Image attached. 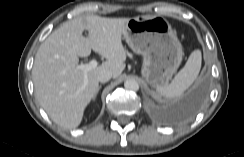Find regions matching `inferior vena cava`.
<instances>
[{
	"mask_svg": "<svg viewBox=\"0 0 244 157\" xmlns=\"http://www.w3.org/2000/svg\"><path fill=\"white\" fill-rule=\"evenodd\" d=\"M112 77V72L108 70H103L98 75V81L105 83L109 81Z\"/></svg>",
	"mask_w": 244,
	"mask_h": 157,
	"instance_id": "inferior-vena-cava-1",
	"label": "inferior vena cava"
}]
</instances>
